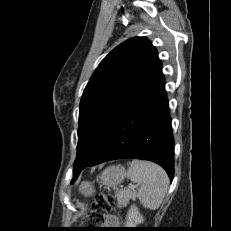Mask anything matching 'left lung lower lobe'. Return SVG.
Masks as SVG:
<instances>
[{
    "mask_svg": "<svg viewBox=\"0 0 231 231\" xmlns=\"http://www.w3.org/2000/svg\"><path fill=\"white\" fill-rule=\"evenodd\" d=\"M160 60L109 123L82 169L120 158L150 160L174 175V140Z\"/></svg>",
    "mask_w": 231,
    "mask_h": 231,
    "instance_id": "0a47b994",
    "label": "left lung lower lobe"
}]
</instances>
